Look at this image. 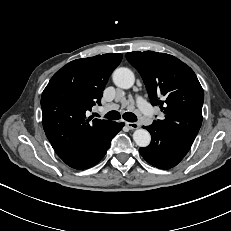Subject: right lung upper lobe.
<instances>
[{"label":"right lung upper lobe","mask_w":231,"mask_h":231,"mask_svg":"<svg viewBox=\"0 0 231 231\" xmlns=\"http://www.w3.org/2000/svg\"><path fill=\"white\" fill-rule=\"evenodd\" d=\"M121 54H103L71 61L57 71L41 97L43 128L57 155L70 167L104 139L114 122L86 118L100 105L104 87L120 64Z\"/></svg>","instance_id":"1"}]
</instances>
